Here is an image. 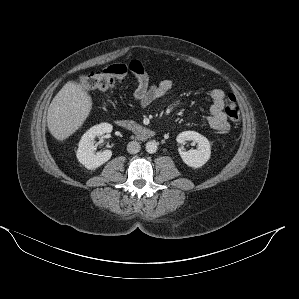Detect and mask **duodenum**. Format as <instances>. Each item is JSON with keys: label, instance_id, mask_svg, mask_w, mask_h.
Instances as JSON below:
<instances>
[{"label": "duodenum", "instance_id": "duodenum-1", "mask_svg": "<svg viewBox=\"0 0 299 299\" xmlns=\"http://www.w3.org/2000/svg\"><path fill=\"white\" fill-rule=\"evenodd\" d=\"M117 125L127 129L139 139H149L154 137V132L140 125L139 123L128 119H117Z\"/></svg>", "mask_w": 299, "mask_h": 299}]
</instances>
